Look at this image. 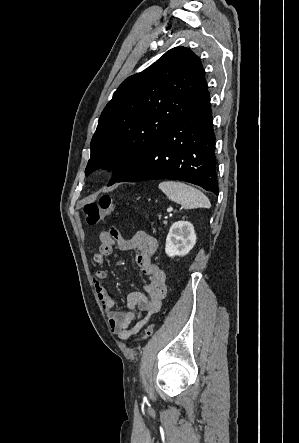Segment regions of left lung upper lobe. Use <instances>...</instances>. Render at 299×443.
I'll use <instances>...</instances> for the list:
<instances>
[{"mask_svg": "<svg viewBox=\"0 0 299 443\" xmlns=\"http://www.w3.org/2000/svg\"><path fill=\"white\" fill-rule=\"evenodd\" d=\"M206 90L201 61L185 47L172 48L128 77L99 118L85 174L113 167L109 185L114 184Z\"/></svg>", "mask_w": 299, "mask_h": 443, "instance_id": "5c2ea615", "label": "left lung upper lobe"}]
</instances>
